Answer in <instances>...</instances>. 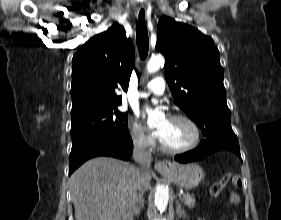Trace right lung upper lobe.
Here are the masks:
<instances>
[{
    "label": "right lung upper lobe",
    "mask_w": 281,
    "mask_h": 220,
    "mask_svg": "<svg viewBox=\"0 0 281 220\" xmlns=\"http://www.w3.org/2000/svg\"><path fill=\"white\" fill-rule=\"evenodd\" d=\"M72 63V118L109 111L122 102L117 91L128 89L134 47L116 23L87 41Z\"/></svg>",
    "instance_id": "1"
}]
</instances>
